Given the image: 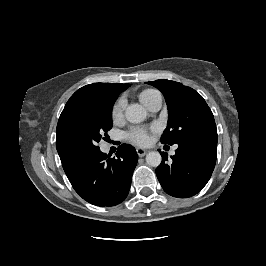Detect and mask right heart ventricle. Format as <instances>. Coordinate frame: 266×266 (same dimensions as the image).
<instances>
[{
    "mask_svg": "<svg viewBox=\"0 0 266 266\" xmlns=\"http://www.w3.org/2000/svg\"><path fill=\"white\" fill-rule=\"evenodd\" d=\"M158 96H160L158 91L154 89H146L139 94V99L148 108L151 102Z\"/></svg>",
    "mask_w": 266,
    "mask_h": 266,
    "instance_id": "right-heart-ventricle-1",
    "label": "right heart ventricle"
}]
</instances>
